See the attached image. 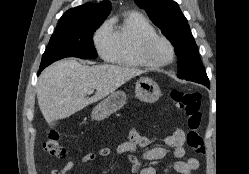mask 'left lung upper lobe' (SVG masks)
<instances>
[{
	"mask_svg": "<svg viewBox=\"0 0 249 174\" xmlns=\"http://www.w3.org/2000/svg\"><path fill=\"white\" fill-rule=\"evenodd\" d=\"M134 1L147 12L150 20L174 46L179 59L177 77L186 80L208 79L187 19L178 4L172 0Z\"/></svg>",
	"mask_w": 249,
	"mask_h": 174,
	"instance_id": "left-lung-upper-lobe-1",
	"label": "left lung upper lobe"
}]
</instances>
